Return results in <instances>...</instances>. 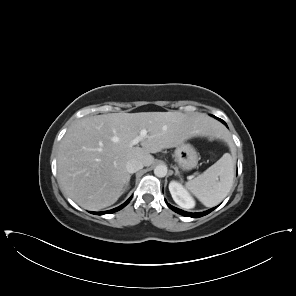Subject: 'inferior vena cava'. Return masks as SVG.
<instances>
[{"label":"inferior vena cava","instance_id":"obj_1","mask_svg":"<svg viewBox=\"0 0 296 296\" xmlns=\"http://www.w3.org/2000/svg\"><path fill=\"white\" fill-rule=\"evenodd\" d=\"M144 167L143 163L137 159H131L126 164L129 173H135Z\"/></svg>","mask_w":296,"mask_h":296}]
</instances>
